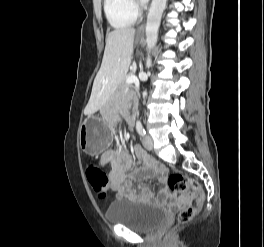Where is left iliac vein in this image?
<instances>
[{
  "label": "left iliac vein",
  "mask_w": 264,
  "mask_h": 247,
  "mask_svg": "<svg viewBox=\"0 0 264 247\" xmlns=\"http://www.w3.org/2000/svg\"><path fill=\"white\" fill-rule=\"evenodd\" d=\"M143 146L147 149V150H152L153 149V139L151 136H145L143 138Z\"/></svg>",
  "instance_id": "4c4485c4"
}]
</instances>
